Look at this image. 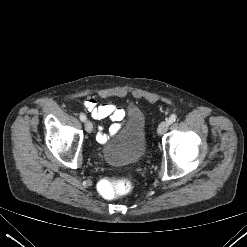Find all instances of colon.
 I'll use <instances>...</instances> for the list:
<instances>
[{
  "label": "colon",
  "mask_w": 247,
  "mask_h": 247,
  "mask_svg": "<svg viewBox=\"0 0 247 247\" xmlns=\"http://www.w3.org/2000/svg\"><path fill=\"white\" fill-rule=\"evenodd\" d=\"M133 182L127 177H114L101 181L100 192L107 199H114L132 190Z\"/></svg>",
  "instance_id": "obj_1"
}]
</instances>
